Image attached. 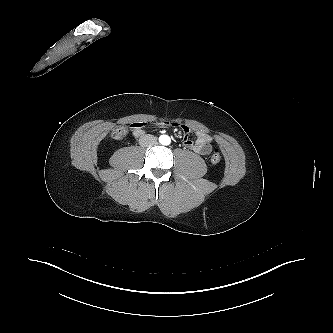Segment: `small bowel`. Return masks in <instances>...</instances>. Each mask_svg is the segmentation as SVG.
<instances>
[{"instance_id":"obj_1","label":"small bowel","mask_w":333,"mask_h":333,"mask_svg":"<svg viewBox=\"0 0 333 333\" xmlns=\"http://www.w3.org/2000/svg\"><path fill=\"white\" fill-rule=\"evenodd\" d=\"M157 126H177L180 127L185 135L183 136L182 143L185 147L192 149L194 152L200 155H208L212 151L211 138L202 132H196V139L192 140L188 134L191 132V129L185 125H179L176 123H170L167 121H157L155 122ZM146 123L143 121H138L131 124L133 135L140 137L144 134V127Z\"/></svg>"}]
</instances>
